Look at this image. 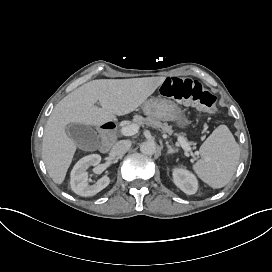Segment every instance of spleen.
<instances>
[{
  "mask_svg": "<svg viewBox=\"0 0 272 272\" xmlns=\"http://www.w3.org/2000/svg\"><path fill=\"white\" fill-rule=\"evenodd\" d=\"M199 151L200 158L192 165L197 177L213 189L227 185L240 158V148L228 127L218 125Z\"/></svg>",
  "mask_w": 272,
  "mask_h": 272,
  "instance_id": "spleen-1",
  "label": "spleen"
}]
</instances>
